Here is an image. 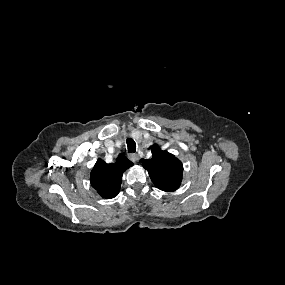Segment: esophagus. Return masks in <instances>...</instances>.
I'll use <instances>...</instances> for the list:
<instances>
[{"mask_svg":"<svg viewBox=\"0 0 285 285\" xmlns=\"http://www.w3.org/2000/svg\"><path fill=\"white\" fill-rule=\"evenodd\" d=\"M129 159H130V161L136 163V162L139 160V157H138V155L135 154V153H130V154H129Z\"/></svg>","mask_w":285,"mask_h":285,"instance_id":"1","label":"esophagus"}]
</instances>
